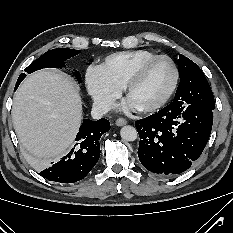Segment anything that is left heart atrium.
I'll use <instances>...</instances> for the list:
<instances>
[{
  "instance_id": "obj_1",
  "label": "left heart atrium",
  "mask_w": 233,
  "mask_h": 233,
  "mask_svg": "<svg viewBox=\"0 0 233 233\" xmlns=\"http://www.w3.org/2000/svg\"><path fill=\"white\" fill-rule=\"evenodd\" d=\"M128 106L132 109H138V107L134 105L130 100H128Z\"/></svg>"
}]
</instances>
